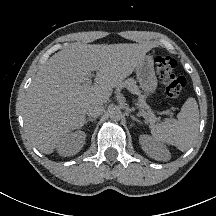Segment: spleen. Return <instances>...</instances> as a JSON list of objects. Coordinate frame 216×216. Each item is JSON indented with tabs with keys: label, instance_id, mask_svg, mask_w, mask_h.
Listing matches in <instances>:
<instances>
[{
	"label": "spleen",
	"instance_id": "3e777b00",
	"mask_svg": "<svg viewBox=\"0 0 216 216\" xmlns=\"http://www.w3.org/2000/svg\"><path fill=\"white\" fill-rule=\"evenodd\" d=\"M177 117L174 122L165 121L153 126L151 133L156 140L186 151L198 135L199 109L196 100L188 98Z\"/></svg>",
	"mask_w": 216,
	"mask_h": 216
}]
</instances>
